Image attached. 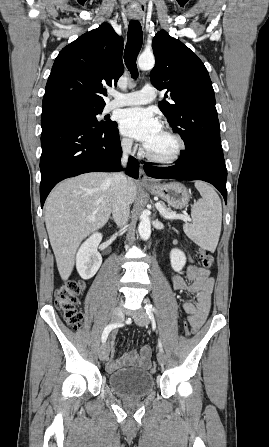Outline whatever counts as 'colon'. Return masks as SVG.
Instances as JSON below:
<instances>
[{"instance_id": "1", "label": "colon", "mask_w": 269, "mask_h": 447, "mask_svg": "<svg viewBox=\"0 0 269 447\" xmlns=\"http://www.w3.org/2000/svg\"><path fill=\"white\" fill-rule=\"evenodd\" d=\"M197 258L204 268H212L215 262L214 256L203 249L197 251ZM84 288V282L81 280L69 281L65 285L59 287L56 290V307L60 311L64 321L74 329H80L84 324V317L79 310V295L82 293ZM180 328L186 331L185 338H190L193 333L189 329L188 323L185 320L180 321ZM143 354H149L150 350L144 348L142 350ZM145 370L151 373H155L157 370V365L155 362H149L145 366Z\"/></svg>"}]
</instances>
